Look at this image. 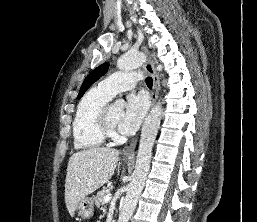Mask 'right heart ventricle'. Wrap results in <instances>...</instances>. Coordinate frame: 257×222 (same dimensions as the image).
<instances>
[{"mask_svg":"<svg viewBox=\"0 0 257 222\" xmlns=\"http://www.w3.org/2000/svg\"><path fill=\"white\" fill-rule=\"evenodd\" d=\"M111 98L99 87L92 88L81 98L72 124L77 149H95L103 145L106 137L100 130L99 119Z\"/></svg>","mask_w":257,"mask_h":222,"instance_id":"obj_1","label":"right heart ventricle"}]
</instances>
